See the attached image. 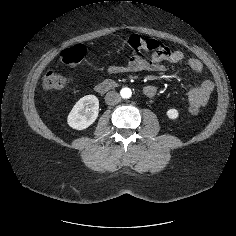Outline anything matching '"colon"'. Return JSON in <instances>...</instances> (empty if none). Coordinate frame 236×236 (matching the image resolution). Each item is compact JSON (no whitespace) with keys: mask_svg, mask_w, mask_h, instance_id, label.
I'll return each mask as SVG.
<instances>
[{"mask_svg":"<svg viewBox=\"0 0 236 236\" xmlns=\"http://www.w3.org/2000/svg\"><path fill=\"white\" fill-rule=\"evenodd\" d=\"M126 45L133 51L146 54H160L165 47L154 39L143 38L139 35H131L126 38ZM86 55V48L77 44L66 48L60 53V61L67 65L79 64ZM68 84L67 77L60 71H49L44 77V87L48 90H60ZM189 111L193 114L198 113L199 109L190 107Z\"/></svg>","mask_w":236,"mask_h":236,"instance_id":"colon-1","label":"colon"}]
</instances>
